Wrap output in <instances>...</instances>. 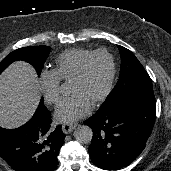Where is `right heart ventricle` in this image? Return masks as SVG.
I'll list each match as a JSON object with an SVG mask.
<instances>
[{"instance_id": "obj_1", "label": "right heart ventricle", "mask_w": 171, "mask_h": 171, "mask_svg": "<svg viewBox=\"0 0 171 171\" xmlns=\"http://www.w3.org/2000/svg\"><path fill=\"white\" fill-rule=\"evenodd\" d=\"M92 53L87 49H69L61 53L55 60L52 70L60 81H69L82 61Z\"/></svg>"}]
</instances>
